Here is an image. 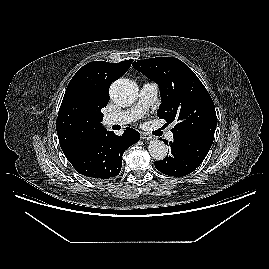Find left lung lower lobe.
Instances as JSON below:
<instances>
[{"instance_id": "left-lung-lower-lobe-1", "label": "left lung lower lobe", "mask_w": 269, "mask_h": 269, "mask_svg": "<svg viewBox=\"0 0 269 269\" xmlns=\"http://www.w3.org/2000/svg\"><path fill=\"white\" fill-rule=\"evenodd\" d=\"M169 142L170 154L155 162L158 171L169 176H185L193 172L205 159L213 138L209 136L178 137ZM166 142V140H164ZM168 145V142H166Z\"/></svg>"}]
</instances>
